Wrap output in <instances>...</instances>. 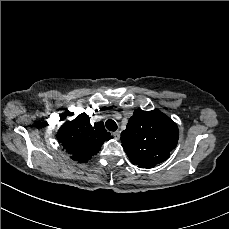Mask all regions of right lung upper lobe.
<instances>
[{
    "label": "right lung upper lobe",
    "mask_w": 229,
    "mask_h": 229,
    "mask_svg": "<svg viewBox=\"0 0 229 229\" xmlns=\"http://www.w3.org/2000/svg\"><path fill=\"white\" fill-rule=\"evenodd\" d=\"M57 138L71 155V159L86 163L112 136L105 130L103 122L92 126L88 116L82 113L73 121L64 123L57 133Z\"/></svg>",
    "instance_id": "cb5924a9"
}]
</instances>
